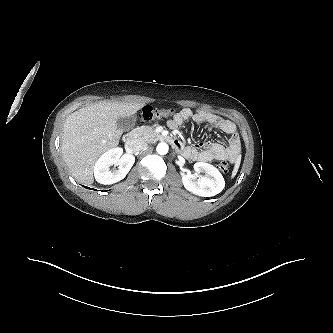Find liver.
I'll return each mask as SVG.
<instances>
[{
    "label": "liver",
    "instance_id": "1",
    "mask_svg": "<svg viewBox=\"0 0 333 333\" xmlns=\"http://www.w3.org/2000/svg\"><path fill=\"white\" fill-rule=\"evenodd\" d=\"M145 103L99 102L70 114L61 134L62 157L73 177L86 185L101 154L118 145L122 131L119 117L131 116Z\"/></svg>",
    "mask_w": 333,
    "mask_h": 333
}]
</instances>
